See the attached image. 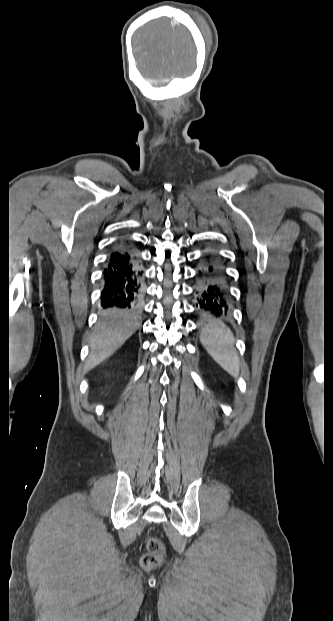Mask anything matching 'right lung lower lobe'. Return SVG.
Wrapping results in <instances>:
<instances>
[{
	"label": "right lung lower lobe",
	"mask_w": 333,
	"mask_h": 621,
	"mask_svg": "<svg viewBox=\"0 0 333 621\" xmlns=\"http://www.w3.org/2000/svg\"><path fill=\"white\" fill-rule=\"evenodd\" d=\"M104 289L101 303L104 308L137 309L144 292V275L139 258L127 244L116 247L103 271Z\"/></svg>",
	"instance_id": "98d812e1"
}]
</instances>
